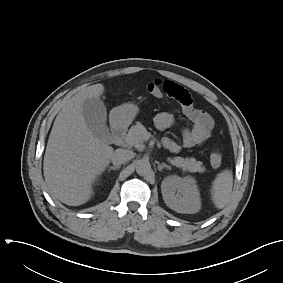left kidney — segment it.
<instances>
[{
	"label": "left kidney",
	"instance_id": "obj_1",
	"mask_svg": "<svg viewBox=\"0 0 283 283\" xmlns=\"http://www.w3.org/2000/svg\"><path fill=\"white\" fill-rule=\"evenodd\" d=\"M164 202L178 213L194 214L201 208L200 195L195 179L187 176H168L161 184Z\"/></svg>",
	"mask_w": 283,
	"mask_h": 283
}]
</instances>
